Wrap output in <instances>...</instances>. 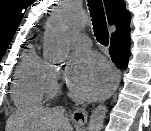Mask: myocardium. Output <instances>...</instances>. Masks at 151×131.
I'll return each instance as SVG.
<instances>
[{"label":"myocardium","mask_w":151,"mask_h":131,"mask_svg":"<svg viewBox=\"0 0 151 131\" xmlns=\"http://www.w3.org/2000/svg\"><path fill=\"white\" fill-rule=\"evenodd\" d=\"M56 89H57L56 86L51 82L50 85H49V88H48V92L50 94H53V93L56 92Z\"/></svg>","instance_id":"f54148a6"}]
</instances>
